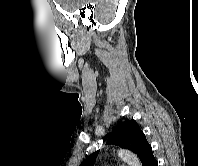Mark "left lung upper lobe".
I'll return each instance as SVG.
<instances>
[{"mask_svg":"<svg viewBox=\"0 0 198 166\" xmlns=\"http://www.w3.org/2000/svg\"><path fill=\"white\" fill-rule=\"evenodd\" d=\"M107 144H115L133 151L145 166L153 156L152 147L148 143L143 131L134 120H127L116 126L109 135ZM99 150L86 158L80 166H94Z\"/></svg>","mask_w":198,"mask_h":166,"instance_id":"1","label":"left lung upper lobe"}]
</instances>
